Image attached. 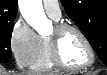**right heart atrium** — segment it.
Returning <instances> with one entry per match:
<instances>
[{
  "label": "right heart atrium",
  "instance_id": "obj_1",
  "mask_svg": "<svg viewBox=\"0 0 107 75\" xmlns=\"http://www.w3.org/2000/svg\"><path fill=\"white\" fill-rule=\"evenodd\" d=\"M10 50L19 67H29L39 47V36L22 18L15 21L10 33Z\"/></svg>",
  "mask_w": 107,
  "mask_h": 75
}]
</instances>
